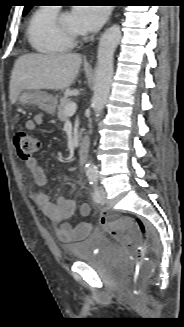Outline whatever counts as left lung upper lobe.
<instances>
[{
  "mask_svg": "<svg viewBox=\"0 0 184 327\" xmlns=\"http://www.w3.org/2000/svg\"><path fill=\"white\" fill-rule=\"evenodd\" d=\"M31 8H32L31 5H26V6L24 7L23 15H26V14L29 12V10H30Z\"/></svg>",
  "mask_w": 184,
  "mask_h": 327,
  "instance_id": "1",
  "label": "left lung upper lobe"
}]
</instances>
